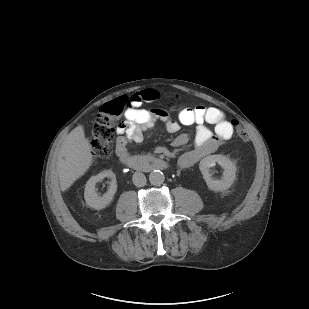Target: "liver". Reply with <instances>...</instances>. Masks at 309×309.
Instances as JSON below:
<instances>
[{
	"label": "liver",
	"instance_id": "liver-1",
	"mask_svg": "<svg viewBox=\"0 0 309 309\" xmlns=\"http://www.w3.org/2000/svg\"><path fill=\"white\" fill-rule=\"evenodd\" d=\"M93 162L91 146L82 125L74 128L62 143L56 162L60 188L66 191L83 176Z\"/></svg>",
	"mask_w": 309,
	"mask_h": 309
}]
</instances>
